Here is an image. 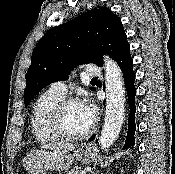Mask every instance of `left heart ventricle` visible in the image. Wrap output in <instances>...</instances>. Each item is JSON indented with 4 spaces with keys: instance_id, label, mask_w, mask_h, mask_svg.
I'll list each match as a JSON object with an SVG mask.
<instances>
[{
    "instance_id": "obj_1",
    "label": "left heart ventricle",
    "mask_w": 175,
    "mask_h": 174,
    "mask_svg": "<svg viewBox=\"0 0 175 174\" xmlns=\"http://www.w3.org/2000/svg\"><path fill=\"white\" fill-rule=\"evenodd\" d=\"M91 123L82 103L69 105L62 116L63 129L65 132L72 135H77L86 131Z\"/></svg>"
}]
</instances>
